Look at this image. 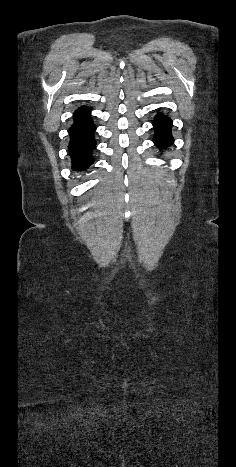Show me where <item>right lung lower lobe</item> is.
<instances>
[{
  "mask_svg": "<svg viewBox=\"0 0 236 467\" xmlns=\"http://www.w3.org/2000/svg\"><path fill=\"white\" fill-rule=\"evenodd\" d=\"M74 123L69 129V153L72 158V168L77 171L86 170L94 162L92 151L96 146L90 109L80 107L73 114Z\"/></svg>",
  "mask_w": 236,
  "mask_h": 467,
  "instance_id": "98d812e1",
  "label": "right lung lower lobe"
}]
</instances>
